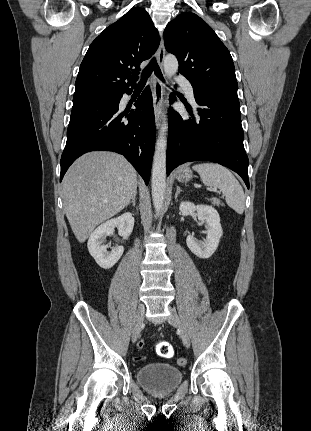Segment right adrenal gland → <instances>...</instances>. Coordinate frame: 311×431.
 Listing matches in <instances>:
<instances>
[{
	"label": "right adrenal gland",
	"mask_w": 311,
	"mask_h": 431,
	"mask_svg": "<svg viewBox=\"0 0 311 431\" xmlns=\"http://www.w3.org/2000/svg\"><path fill=\"white\" fill-rule=\"evenodd\" d=\"M135 198L136 196H133L132 200H130L129 204H127V206H130V204H132L133 208H135L136 204H135ZM126 206V208H127Z\"/></svg>",
	"instance_id": "right-adrenal-gland-1"
}]
</instances>
